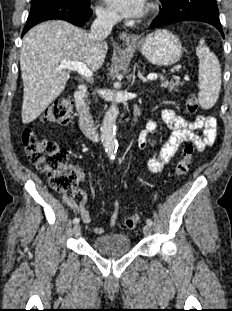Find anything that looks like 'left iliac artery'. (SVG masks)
<instances>
[{"label": "left iliac artery", "mask_w": 232, "mask_h": 311, "mask_svg": "<svg viewBox=\"0 0 232 311\" xmlns=\"http://www.w3.org/2000/svg\"><path fill=\"white\" fill-rule=\"evenodd\" d=\"M147 224L150 225V226H152L153 221H152L151 219H148V220H147Z\"/></svg>", "instance_id": "obj_1"}]
</instances>
